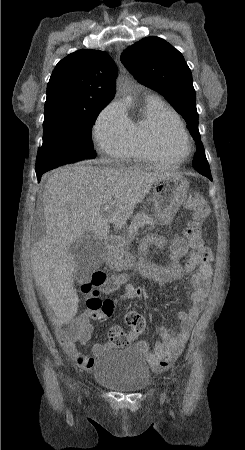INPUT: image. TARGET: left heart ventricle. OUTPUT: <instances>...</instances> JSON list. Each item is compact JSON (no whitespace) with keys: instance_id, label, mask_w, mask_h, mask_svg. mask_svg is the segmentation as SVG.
Returning <instances> with one entry per match:
<instances>
[{"instance_id":"1","label":"left heart ventricle","mask_w":245,"mask_h":450,"mask_svg":"<svg viewBox=\"0 0 245 450\" xmlns=\"http://www.w3.org/2000/svg\"><path fill=\"white\" fill-rule=\"evenodd\" d=\"M155 130L162 142L175 154L183 155L187 152L186 142L178 127L170 120L157 123Z\"/></svg>"}]
</instances>
